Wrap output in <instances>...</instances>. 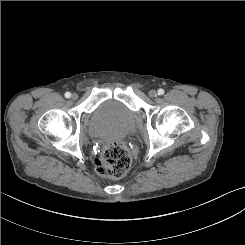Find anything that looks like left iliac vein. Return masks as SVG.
<instances>
[{"label": "left iliac vein", "instance_id": "4c4485c4", "mask_svg": "<svg viewBox=\"0 0 245 245\" xmlns=\"http://www.w3.org/2000/svg\"><path fill=\"white\" fill-rule=\"evenodd\" d=\"M149 96H150L151 98H154V97L157 96V92H156L155 90H150V91H149Z\"/></svg>", "mask_w": 245, "mask_h": 245}]
</instances>
